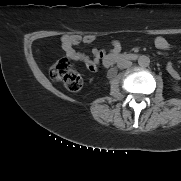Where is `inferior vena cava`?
Returning <instances> with one entry per match:
<instances>
[{
  "label": "inferior vena cava",
  "mask_w": 181,
  "mask_h": 181,
  "mask_svg": "<svg viewBox=\"0 0 181 181\" xmlns=\"http://www.w3.org/2000/svg\"><path fill=\"white\" fill-rule=\"evenodd\" d=\"M132 66V62L131 61H125L124 63L120 64L118 67L119 68H128Z\"/></svg>",
  "instance_id": "1"
}]
</instances>
